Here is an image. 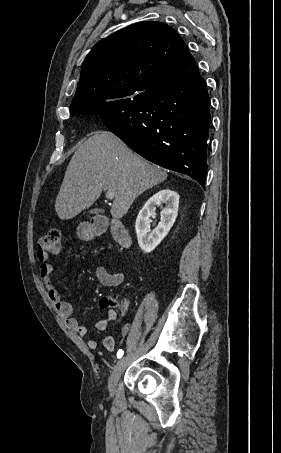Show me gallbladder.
<instances>
[{
  "label": "gallbladder",
  "mask_w": 281,
  "mask_h": 453,
  "mask_svg": "<svg viewBox=\"0 0 281 453\" xmlns=\"http://www.w3.org/2000/svg\"><path fill=\"white\" fill-rule=\"evenodd\" d=\"M89 212H101L100 208H93V210H89Z\"/></svg>",
  "instance_id": "obj_1"
}]
</instances>
